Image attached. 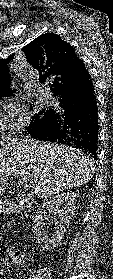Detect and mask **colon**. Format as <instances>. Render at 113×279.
Listing matches in <instances>:
<instances>
[{"mask_svg": "<svg viewBox=\"0 0 113 279\" xmlns=\"http://www.w3.org/2000/svg\"><path fill=\"white\" fill-rule=\"evenodd\" d=\"M14 257L15 254L13 252L1 249L0 247V266L1 264L7 263L8 261L12 260Z\"/></svg>", "mask_w": 113, "mask_h": 279, "instance_id": "obj_1", "label": "colon"}]
</instances>
